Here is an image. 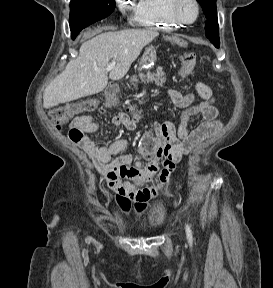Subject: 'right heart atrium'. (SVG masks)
<instances>
[{"instance_id":"d8ad5b80","label":"right heart atrium","mask_w":273,"mask_h":288,"mask_svg":"<svg viewBox=\"0 0 273 288\" xmlns=\"http://www.w3.org/2000/svg\"><path fill=\"white\" fill-rule=\"evenodd\" d=\"M135 1L136 0H115L119 11L124 15L132 10L133 6L135 5Z\"/></svg>"}]
</instances>
